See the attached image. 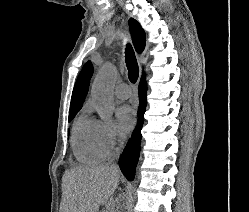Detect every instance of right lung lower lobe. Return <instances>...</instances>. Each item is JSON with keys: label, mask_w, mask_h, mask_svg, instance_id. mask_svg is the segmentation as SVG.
Returning <instances> with one entry per match:
<instances>
[{"label": "right lung lower lobe", "mask_w": 249, "mask_h": 212, "mask_svg": "<svg viewBox=\"0 0 249 212\" xmlns=\"http://www.w3.org/2000/svg\"><path fill=\"white\" fill-rule=\"evenodd\" d=\"M147 86L144 78L139 84V109H138V125L132 133L124 151L119 159V166L124 176L132 181L135 175L136 164L138 162L141 144V127L143 125V116L147 105L146 99Z\"/></svg>", "instance_id": "98d812e1"}]
</instances>
